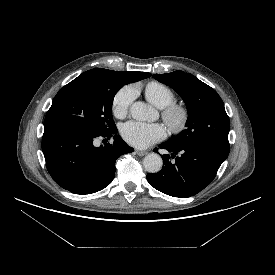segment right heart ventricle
<instances>
[{
    "label": "right heart ventricle",
    "mask_w": 275,
    "mask_h": 275,
    "mask_svg": "<svg viewBox=\"0 0 275 275\" xmlns=\"http://www.w3.org/2000/svg\"><path fill=\"white\" fill-rule=\"evenodd\" d=\"M145 97L158 108L163 109L175 99L173 90L164 83L151 81L145 87Z\"/></svg>",
    "instance_id": "obj_1"
}]
</instances>
